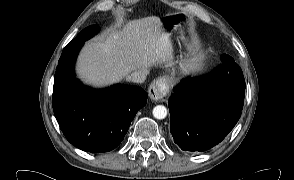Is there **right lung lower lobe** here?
I'll return each mask as SVG.
<instances>
[{
    "instance_id": "obj_1",
    "label": "right lung lower lobe",
    "mask_w": 294,
    "mask_h": 180,
    "mask_svg": "<svg viewBox=\"0 0 294 180\" xmlns=\"http://www.w3.org/2000/svg\"><path fill=\"white\" fill-rule=\"evenodd\" d=\"M82 45L63 50L54 77L53 110L71 144L86 152H108L124 139L148 94L140 87L122 84L105 90L83 86L74 74Z\"/></svg>"
}]
</instances>
